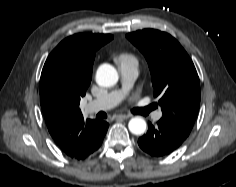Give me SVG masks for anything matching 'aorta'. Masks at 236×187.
I'll return each instance as SVG.
<instances>
[{
	"instance_id": "1",
	"label": "aorta",
	"mask_w": 236,
	"mask_h": 187,
	"mask_svg": "<svg viewBox=\"0 0 236 187\" xmlns=\"http://www.w3.org/2000/svg\"><path fill=\"white\" fill-rule=\"evenodd\" d=\"M118 73L110 64H102L97 69L96 82L102 87H111L118 82ZM146 121L141 117H134L129 121L128 127L132 134L141 135L146 131Z\"/></svg>"
}]
</instances>
